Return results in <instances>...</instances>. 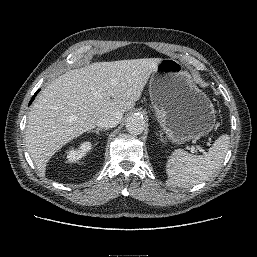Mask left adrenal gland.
<instances>
[{"label":"left adrenal gland","mask_w":257,"mask_h":257,"mask_svg":"<svg viewBox=\"0 0 257 257\" xmlns=\"http://www.w3.org/2000/svg\"><path fill=\"white\" fill-rule=\"evenodd\" d=\"M160 140H161L162 142H164V139H163V136H162L161 131H160Z\"/></svg>","instance_id":"left-adrenal-gland-1"}]
</instances>
